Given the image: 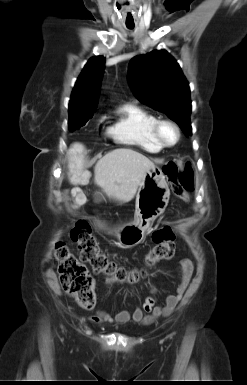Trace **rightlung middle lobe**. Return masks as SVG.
<instances>
[{
    "label": "right lung middle lobe",
    "instance_id": "1",
    "mask_svg": "<svg viewBox=\"0 0 247 385\" xmlns=\"http://www.w3.org/2000/svg\"><path fill=\"white\" fill-rule=\"evenodd\" d=\"M94 109L69 111V129L76 130L84 126L92 118Z\"/></svg>",
    "mask_w": 247,
    "mask_h": 385
}]
</instances>
